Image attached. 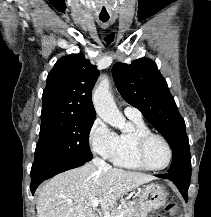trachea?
<instances>
[{
    "mask_svg": "<svg viewBox=\"0 0 211 217\" xmlns=\"http://www.w3.org/2000/svg\"><path fill=\"white\" fill-rule=\"evenodd\" d=\"M100 20H101L102 22H107V21L109 20V18H100Z\"/></svg>",
    "mask_w": 211,
    "mask_h": 217,
    "instance_id": "1",
    "label": "trachea"
}]
</instances>
